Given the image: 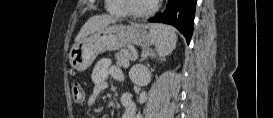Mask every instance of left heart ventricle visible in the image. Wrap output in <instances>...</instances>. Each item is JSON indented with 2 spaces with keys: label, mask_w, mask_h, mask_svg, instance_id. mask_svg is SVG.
Returning a JSON list of instances; mask_svg holds the SVG:
<instances>
[{
  "label": "left heart ventricle",
  "mask_w": 273,
  "mask_h": 118,
  "mask_svg": "<svg viewBox=\"0 0 273 118\" xmlns=\"http://www.w3.org/2000/svg\"><path fill=\"white\" fill-rule=\"evenodd\" d=\"M151 4L150 0H132L133 9L137 11L147 10Z\"/></svg>",
  "instance_id": "obj_1"
}]
</instances>
